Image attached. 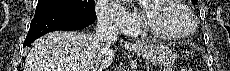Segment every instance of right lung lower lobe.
Wrapping results in <instances>:
<instances>
[{
  "instance_id": "1",
  "label": "right lung lower lobe",
  "mask_w": 230,
  "mask_h": 71,
  "mask_svg": "<svg viewBox=\"0 0 230 71\" xmlns=\"http://www.w3.org/2000/svg\"><path fill=\"white\" fill-rule=\"evenodd\" d=\"M97 16L73 9H45L35 12L23 46L56 30H79L91 25Z\"/></svg>"
}]
</instances>
